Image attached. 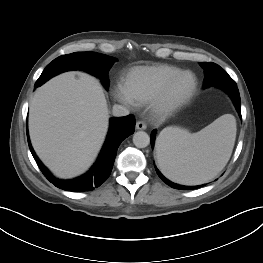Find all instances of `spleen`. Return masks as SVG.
Segmentation results:
<instances>
[{
  "mask_svg": "<svg viewBox=\"0 0 263 263\" xmlns=\"http://www.w3.org/2000/svg\"><path fill=\"white\" fill-rule=\"evenodd\" d=\"M236 138V120L225 114L196 133L178 127L164 128L156 155L163 174L183 185L212 180L227 164Z\"/></svg>",
  "mask_w": 263,
  "mask_h": 263,
  "instance_id": "1",
  "label": "spleen"
}]
</instances>
